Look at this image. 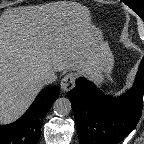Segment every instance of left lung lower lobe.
<instances>
[{
	"label": "left lung lower lobe",
	"mask_w": 144,
	"mask_h": 144,
	"mask_svg": "<svg viewBox=\"0 0 144 144\" xmlns=\"http://www.w3.org/2000/svg\"><path fill=\"white\" fill-rule=\"evenodd\" d=\"M144 94V57L133 88L119 98L105 96L95 85L79 78L68 92L80 144H117L137 125Z\"/></svg>",
	"instance_id": "0a47b994"
}]
</instances>
